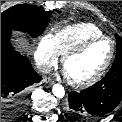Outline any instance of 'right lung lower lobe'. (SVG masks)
Returning <instances> with one entry per match:
<instances>
[{
	"label": "right lung lower lobe",
	"instance_id": "right-lung-lower-lobe-1",
	"mask_svg": "<svg viewBox=\"0 0 122 122\" xmlns=\"http://www.w3.org/2000/svg\"><path fill=\"white\" fill-rule=\"evenodd\" d=\"M10 36L11 31H1V122H14L26 108L28 87L42 79L13 49Z\"/></svg>",
	"mask_w": 122,
	"mask_h": 122
}]
</instances>
